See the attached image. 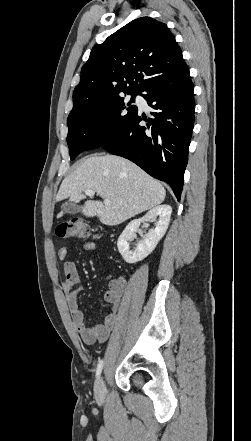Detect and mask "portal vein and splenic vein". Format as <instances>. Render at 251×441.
Returning <instances> with one entry per match:
<instances>
[{"label": "portal vein and splenic vein", "mask_w": 251, "mask_h": 441, "mask_svg": "<svg viewBox=\"0 0 251 441\" xmlns=\"http://www.w3.org/2000/svg\"><path fill=\"white\" fill-rule=\"evenodd\" d=\"M85 194H86L87 196H90V197H91V196H94V195H95V191L89 189V190H86V191H85ZM104 204H105V205H110L111 202H110V200L105 199V200H104Z\"/></svg>", "instance_id": "18ae733b"}]
</instances>
